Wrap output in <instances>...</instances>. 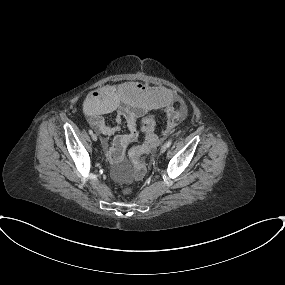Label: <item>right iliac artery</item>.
Segmentation results:
<instances>
[{
  "label": "right iliac artery",
  "instance_id": "right-iliac-artery-1",
  "mask_svg": "<svg viewBox=\"0 0 285 285\" xmlns=\"http://www.w3.org/2000/svg\"><path fill=\"white\" fill-rule=\"evenodd\" d=\"M89 134L92 135V134H93V131H92V130H89Z\"/></svg>",
  "mask_w": 285,
  "mask_h": 285
}]
</instances>
